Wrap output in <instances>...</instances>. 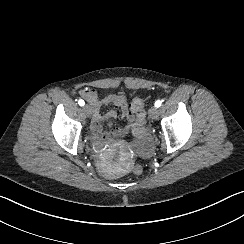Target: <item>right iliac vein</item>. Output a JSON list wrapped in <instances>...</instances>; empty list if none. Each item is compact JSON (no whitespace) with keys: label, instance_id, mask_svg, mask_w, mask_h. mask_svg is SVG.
<instances>
[{"label":"right iliac vein","instance_id":"1","mask_svg":"<svg viewBox=\"0 0 244 244\" xmlns=\"http://www.w3.org/2000/svg\"><path fill=\"white\" fill-rule=\"evenodd\" d=\"M82 110L87 116H90L92 114V108L90 105L83 106Z\"/></svg>","mask_w":244,"mask_h":244}]
</instances>
